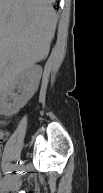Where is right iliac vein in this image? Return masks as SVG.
<instances>
[{
    "instance_id": "obj_1",
    "label": "right iliac vein",
    "mask_w": 103,
    "mask_h": 193,
    "mask_svg": "<svg viewBox=\"0 0 103 193\" xmlns=\"http://www.w3.org/2000/svg\"><path fill=\"white\" fill-rule=\"evenodd\" d=\"M24 169V166H20L18 172L12 177V179L9 182L8 188H13L19 181L20 175Z\"/></svg>"
}]
</instances>
